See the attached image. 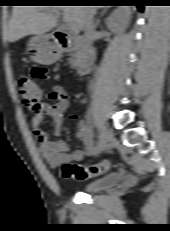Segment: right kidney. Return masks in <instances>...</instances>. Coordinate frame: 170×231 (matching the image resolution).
<instances>
[{"label":"right kidney","mask_w":170,"mask_h":231,"mask_svg":"<svg viewBox=\"0 0 170 231\" xmlns=\"http://www.w3.org/2000/svg\"><path fill=\"white\" fill-rule=\"evenodd\" d=\"M130 17L131 12L128 8H118L108 18L106 25L113 33L121 34L127 29Z\"/></svg>","instance_id":"1"}]
</instances>
